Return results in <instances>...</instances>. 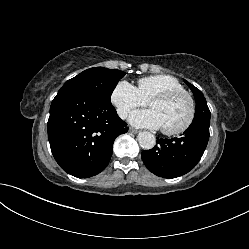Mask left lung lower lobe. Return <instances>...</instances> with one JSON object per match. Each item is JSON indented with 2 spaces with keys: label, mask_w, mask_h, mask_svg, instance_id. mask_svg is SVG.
<instances>
[{
  "label": "left lung lower lobe",
  "mask_w": 249,
  "mask_h": 249,
  "mask_svg": "<svg viewBox=\"0 0 249 249\" xmlns=\"http://www.w3.org/2000/svg\"><path fill=\"white\" fill-rule=\"evenodd\" d=\"M210 117L194 118L180 138L159 139L142 151L145 166L155 175L176 178L192 170L201 159L209 139Z\"/></svg>",
  "instance_id": "left-lung-lower-lobe-1"
}]
</instances>
